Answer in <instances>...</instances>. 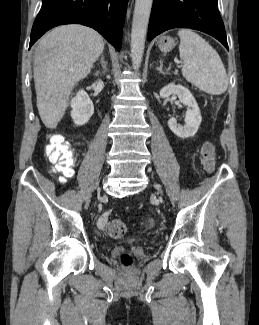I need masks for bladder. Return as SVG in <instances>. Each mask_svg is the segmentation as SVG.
I'll return each instance as SVG.
<instances>
[{"mask_svg": "<svg viewBox=\"0 0 259 325\" xmlns=\"http://www.w3.org/2000/svg\"><path fill=\"white\" fill-rule=\"evenodd\" d=\"M127 243L134 244V243H136V240L135 239H129V240H127Z\"/></svg>", "mask_w": 259, "mask_h": 325, "instance_id": "1", "label": "bladder"}]
</instances>
